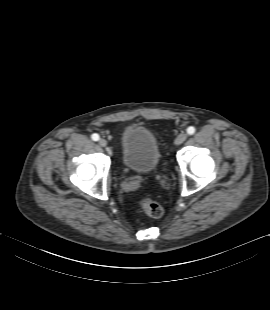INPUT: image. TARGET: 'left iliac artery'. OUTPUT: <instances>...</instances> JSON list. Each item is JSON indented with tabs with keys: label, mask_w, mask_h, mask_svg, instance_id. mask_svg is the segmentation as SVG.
I'll return each mask as SVG.
<instances>
[{
	"label": "left iliac artery",
	"mask_w": 270,
	"mask_h": 310,
	"mask_svg": "<svg viewBox=\"0 0 270 310\" xmlns=\"http://www.w3.org/2000/svg\"><path fill=\"white\" fill-rule=\"evenodd\" d=\"M195 131H196V129H195L193 126H190V127L187 128V133H188L189 135L194 134Z\"/></svg>",
	"instance_id": "44dca946"
}]
</instances>
